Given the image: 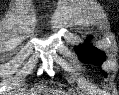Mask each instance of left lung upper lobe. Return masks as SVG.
I'll return each mask as SVG.
<instances>
[{"label":"left lung upper lobe","mask_w":119,"mask_h":95,"mask_svg":"<svg viewBox=\"0 0 119 95\" xmlns=\"http://www.w3.org/2000/svg\"><path fill=\"white\" fill-rule=\"evenodd\" d=\"M77 54L81 61L85 63L94 62L101 65L105 60V54L91 45H80L77 48ZM104 75L106 76L105 72Z\"/></svg>","instance_id":"left-lung-upper-lobe-1"}]
</instances>
